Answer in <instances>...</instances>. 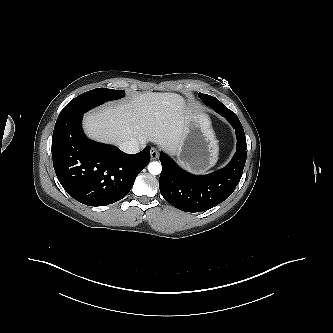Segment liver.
<instances>
[{"mask_svg": "<svg viewBox=\"0 0 333 333\" xmlns=\"http://www.w3.org/2000/svg\"><path fill=\"white\" fill-rule=\"evenodd\" d=\"M187 115L180 95L148 92L88 113L84 117V128L91 138L118 146L132 140L144 146L151 140L175 152L184 133Z\"/></svg>", "mask_w": 333, "mask_h": 333, "instance_id": "liver-1", "label": "liver"}]
</instances>
